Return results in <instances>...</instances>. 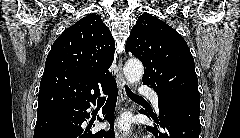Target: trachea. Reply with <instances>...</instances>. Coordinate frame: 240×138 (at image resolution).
Instances as JSON below:
<instances>
[{"instance_id": "3493384b", "label": "trachea", "mask_w": 240, "mask_h": 138, "mask_svg": "<svg viewBox=\"0 0 240 138\" xmlns=\"http://www.w3.org/2000/svg\"><path fill=\"white\" fill-rule=\"evenodd\" d=\"M126 93H127V96L130 97L131 99L144 100L142 97L134 94L127 86H126Z\"/></svg>"}]
</instances>
